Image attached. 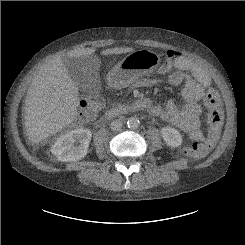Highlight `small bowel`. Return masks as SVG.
<instances>
[{
	"label": "small bowel",
	"instance_id": "c3829d8e",
	"mask_svg": "<svg viewBox=\"0 0 245 245\" xmlns=\"http://www.w3.org/2000/svg\"><path fill=\"white\" fill-rule=\"evenodd\" d=\"M166 70L170 73L168 77L170 85L178 86L184 83L181 95L185 104L179 108L176 102L170 99L164 107L155 106L148 113L160 116L172 125L188 132L192 138H201L203 131L199 128L198 115L201 112L200 101L204 98L206 91L212 87L209 72L184 56L170 62Z\"/></svg>",
	"mask_w": 245,
	"mask_h": 245
}]
</instances>
